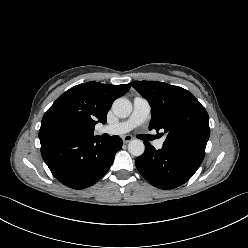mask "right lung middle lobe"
Masks as SVG:
<instances>
[{"instance_id": "obj_1", "label": "right lung middle lobe", "mask_w": 248, "mask_h": 248, "mask_svg": "<svg viewBox=\"0 0 248 248\" xmlns=\"http://www.w3.org/2000/svg\"><path fill=\"white\" fill-rule=\"evenodd\" d=\"M71 137H79V132L73 122L65 119L53 120L39 132L40 139Z\"/></svg>"}]
</instances>
